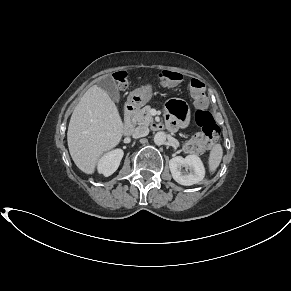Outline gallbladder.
I'll use <instances>...</instances> for the list:
<instances>
[{"instance_id":"obj_1","label":"gallbladder","mask_w":291,"mask_h":291,"mask_svg":"<svg viewBox=\"0 0 291 291\" xmlns=\"http://www.w3.org/2000/svg\"><path fill=\"white\" fill-rule=\"evenodd\" d=\"M97 85L103 89L104 91H106L114 101L118 102L120 99V94H119V90L116 84V81L114 80V78L111 75H106L101 77L98 82Z\"/></svg>"}]
</instances>
